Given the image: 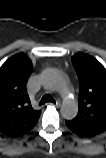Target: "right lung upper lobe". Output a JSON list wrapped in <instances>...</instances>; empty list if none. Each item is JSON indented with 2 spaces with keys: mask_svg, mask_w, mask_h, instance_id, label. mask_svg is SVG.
Returning a JSON list of instances; mask_svg holds the SVG:
<instances>
[{
  "mask_svg": "<svg viewBox=\"0 0 106 158\" xmlns=\"http://www.w3.org/2000/svg\"><path fill=\"white\" fill-rule=\"evenodd\" d=\"M33 71L25 53L9 58L0 68V133L19 137L37 123L41 111L34 110L26 83Z\"/></svg>",
  "mask_w": 106,
  "mask_h": 158,
  "instance_id": "right-lung-upper-lobe-1",
  "label": "right lung upper lobe"
}]
</instances>
